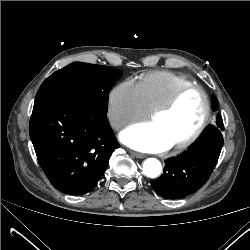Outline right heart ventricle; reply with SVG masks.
<instances>
[{
  "mask_svg": "<svg viewBox=\"0 0 250 250\" xmlns=\"http://www.w3.org/2000/svg\"><path fill=\"white\" fill-rule=\"evenodd\" d=\"M193 84L183 75L169 71H155L139 78L136 85L147 108L152 111L164 104L179 88Z\"/></svg>",
  "mask_w": 250,
  "mask_h": 250,
  "instance_id": "1",
  "label": "right heart ventricle"
}]
</instances>
